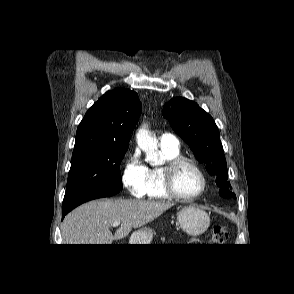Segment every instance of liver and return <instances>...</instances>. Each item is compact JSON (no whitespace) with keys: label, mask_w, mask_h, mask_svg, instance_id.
<instances>
[{"label":"liver","mask_w":294,"mask_h":294,"mask_svg":"<svg viewBox=\"0 0 294 294\" xmlns=\"http://www.w3.org/2000/svg\"><path fill=\"white\" fill-rule=\"evenodd\" d=\"M174 204L138 199L94 200L69 213L61 224L63 244H112L126 237L132 228H139ZM121 226L112 235V223Z\"/></svg>","instance_id":"1"}]
</instances>
